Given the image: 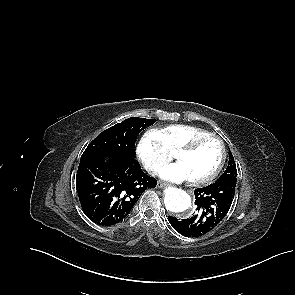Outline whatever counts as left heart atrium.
<instances>
[{
  "label": "left heart atrium",
  "mask_w": 295,
  "mask_h": 295,
  "mask_svg": "<svg viewBox=\"0 0 295 295\" xmlns=\"http://www.w3.org/2000/svg\"><path fill=\"white\" fill-rule=\"evenodd\" d=\"M160 176L165 180L177 183L193 179L187 166L180 161L163 168Z\"/></svg>",
  "instance_id": "39dd6f15"
}]
</instances>
